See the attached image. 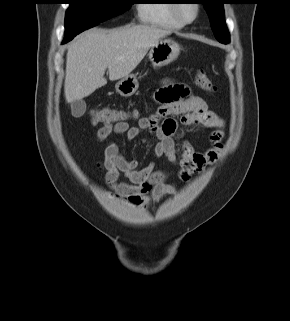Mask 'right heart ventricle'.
I'll return each instance as SVG.
<instances>
[{
	"instance_id": "1",
	"label": "right heart ventricle",
	"mask_w": 290,
	"mask_h": 321,
	"mask_svg": "<svg viewBox=\"0 0 290 321\" xmlns=\"http://www.w3.org/2000/svg\"><path fill=\"white\" fill-rule=\"evenodd\" d=\"M174 0H149L139 5L138 16L141 22L172 29H180L184 25L173 14Z\"/></svg>"
}]
</instances>
